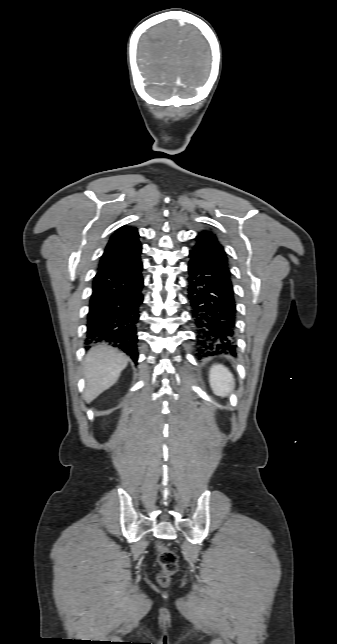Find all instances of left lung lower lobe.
<instances>
[{"label":"left lung lower lobe","instance_id":"0a47b994","mask_svg":"<svg viewBox=\"0 0 337 644\" xmlns=\"http://www.w3.org/2000/svg\"><path fill=\"white\" fill-rule=\"evenodd\" d=\"M188 301L196 325L197 355L235 351L236 301L231 277L216 263L190 251Z\"/></svg>","mask_w":337,"mask_h":644}]
</instances>
